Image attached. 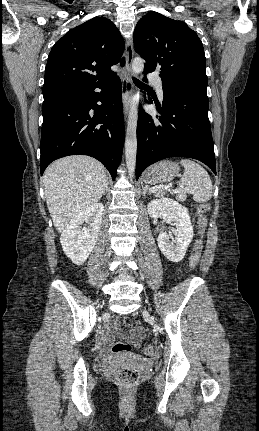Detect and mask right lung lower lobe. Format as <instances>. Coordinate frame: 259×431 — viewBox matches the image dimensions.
<instances>
[{"label":"right lung lower lobe","instance_id":"right-lung-lower-lobe-1","mask_svg":"<svg viewBox=\"0 0 259 431\" xmlns=\"http://www.w3.org/2000/svg\"><path fill=\"white\" fill-rule=\"evenodd\" d=\"M121 93V81L115 75L105 82L44 95L41 174L58 158L83 154L102 162L115 179L125 136Z\"/></svg>","mask_w":259,"mask_h":431}]
</instances>
